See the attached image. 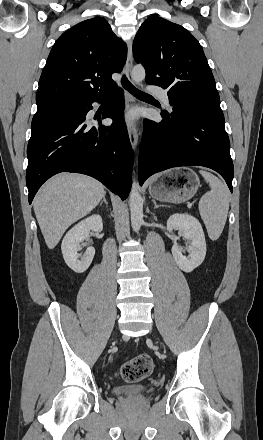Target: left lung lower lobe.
Here are the masks:
<instances>
[{
  "label": "left lung lower lobe",
  "instance_id": "0a47b994",
  "mask_svg": "<svg viewBox=\"0 0 263 440\" xmlns=\"http://www.w3.org/2000/svg\"><path fill=\"white\" fill-rule=\"evenodd\" d=\"M169 100L173 112L162 111L159 123L144 121L140 185L154 173L172 167L204 166L221 174L232 192L234 168L220 105L174 104Z\"/></svg>",
  "mask_w": 263,
  "mask_h": 440
}]
</instances>
